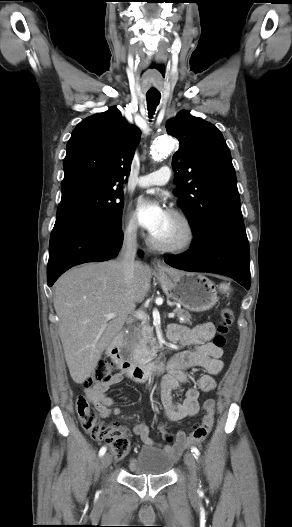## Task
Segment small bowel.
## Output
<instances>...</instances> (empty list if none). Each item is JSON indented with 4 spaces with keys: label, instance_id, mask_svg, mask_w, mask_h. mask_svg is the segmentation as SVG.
<instances>
[{
    "label": "small bowel",
    "instance_id": "obj_1",
    "mask_svg": "<svg viewBox=\"0 0 292 527\" xmlns=\"http://www.w3.org/2000/svg\"><path fill=\"white\" fill-rule=\"evenodd\" d=\"M215 334L214 325L210 322L187 327L173 324L168 329V338L172 342L193 346L178 353L168 363L167 373L161 381V400L166 417L173 422L180 421L202 412L200 425L194 427L190 435L180 431L176 435L172 445L163 446L173 458H177L185 448L200 443L209 434L215 410V401L206 400L200 405L199 391L209 392L215 389V375H218L224 367L221 360L223 350L211 342ZM199 366L205 370V374L199 376L194 385L184 393V399L180 403H174L171 391L177 390L188 381L184 372L186 368ZM124 378L122 372L115 373L111 379L95 388H87L85 397L96 407L99 415L106 418L112 414L118 415L120 410L114 408V400L106 394L110 386L121 382ZM159 430L166 441H171V436L164 423L159 424ZM133 433L140 437L143 444L155 446L156 443L150 437L149 427L145 423H137L133 427Z\"/></svg>",
    "mask_w": 292,
    "mask_h": 527
}]
</instances>
